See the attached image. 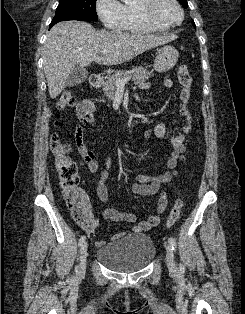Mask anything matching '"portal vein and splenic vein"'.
<instances>
[{
	"mask_svg": "<svg viewBox=\"0 0 245 314\" xmlns=\"http://www.w3.org/2000/svg\"><path fill=\"white\" fill-rule=\"evenodd\" d=\"M107 53H108L107 50H102V51H101V54H102V55H105V54H107ZM130 79H131L130 77H127V78H124V79H117V80L115 81V84H116L117 88H124V87H125V84H126Z\"/></svg>",
	"mask_w": 245,
	"mask_h": 314,
	"instance_id": "obj_1",
	"label": "portal vein and splenic vein"
}]
</instances>
